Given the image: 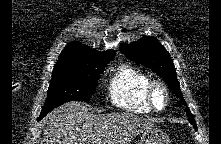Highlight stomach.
I'll use <instances>...</instances> for the list:
<instances>
[{"label": "stomach", "instance_id": "obj_1", "mask_svg": "<svg viewBox=\"0 0 221 144\" xmlns=\"http://www.w3.org/2000/svg\"><path fill=\"white\" fill-rule=\"evenodd\" d=\"M138 144H170V139L162 130L153 128L142 133Z\"/></svg>", "mask_w": 221, "mask_h": 144}]
</instances>
